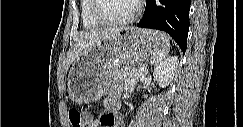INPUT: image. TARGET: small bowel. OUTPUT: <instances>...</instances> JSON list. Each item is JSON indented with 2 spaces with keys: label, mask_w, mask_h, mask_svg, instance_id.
<instances>
[{
  "label": "small bowel",
  "mask_w": 243,
  "mask_h": 127,
  "mask_svg": "<svg viewBox=\"0 0 243 127\" xmlns=\"http://www.w3.org/2000/svg\"><path fill=\"white\" fill-rule=\"evenodd\" d=\"M105 107L110 110H116L119 107V100L115 94H111L105 101ZM86 126L88 127H119L121 126V120L118 116L107 113L102 115L99 119H94L90 114L86 116Z\"/></svg>",
  "instance_id": "small-bowel-1"
}]
</instances>
